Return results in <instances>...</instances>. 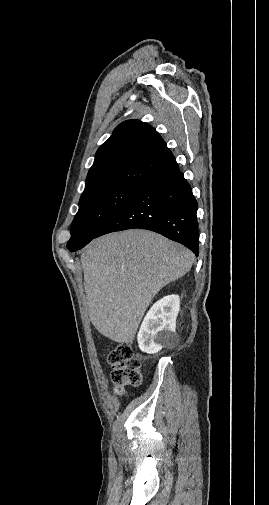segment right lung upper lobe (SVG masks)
I'll use <instances>...</instances> for the list:
<instances>
[{"instance_id":"1","label":"right lung upper lobe","mask_w":269,"mask_h":505,"mask_svg":"<svg viewBox=\"0 0 269 505\" xmlns=\"http://www.w3.org/2000/svg\"><path fill=\"white\" fill-rule=\"evenodd\" d=\"M174 163L173 154L153 127L128 120L97 150L85 190L110 184L139 188Z\"/></svg>"}]
</instances>
